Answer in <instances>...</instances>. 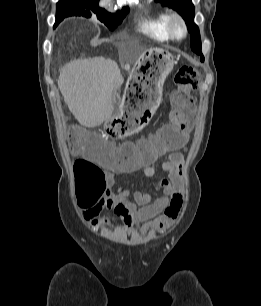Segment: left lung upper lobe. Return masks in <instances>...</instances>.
Wrapping results in <instances>:
<instances>
[{"mask_svg": "<svg viewBox=\"0 0 261 306\" xmlns=\"http://www.w3.org/2000/svg\"><path fill=\"white\" fill-rule=\"evenodd\" d=\"M160 1L163 5H168L169 7L176 10L185 20L188 31L191 37V49L198 55L201 56V61H204V56L201 52V40L199 28L194 23L195 9L191 0H155Z\"/></svg>", "mask_w": 261, "mask_h": 306, "instance_id": "1", "label": "left lung upper lobe"}]
</instances>
